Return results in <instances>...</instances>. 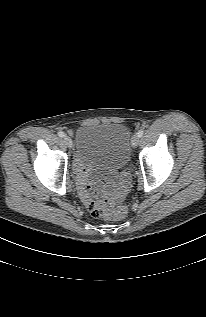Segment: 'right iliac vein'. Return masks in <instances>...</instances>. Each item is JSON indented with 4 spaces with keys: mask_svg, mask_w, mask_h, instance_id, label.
I'll list each match as a JSON object with an SVG mask.
<instances>
[{
    "mask_svg": "<svg viewBox=\"0 0 206 317\" xmlns=\"http://www.w3.org/2000/svg\"><path fill=\"white\" fill-rule=\"evenodd\" d=\"M64 142H65V144H66L69 148H72L73 142H72V140H71L70 137L64 136Z\"/></svg>",
    "mask_w": 206,
    "mask_h": 317,
    "instance_id": "right-iliac-vein-1",
    "label": "right iliac vein"
}]
</instances>
